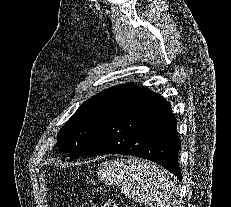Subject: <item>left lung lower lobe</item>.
Here are the masks:
<instances>
[{"mask_svg": "<svg viewBox=\"0 0 231 207\" xmlns=\"http://www.w3.org/2000/svg\"><path fill=\"white\" fill-rule=\"evenodd\" d=\"M176 123L170 103L141 88L109 118L82 156H138L160 164L181 180Z\"/></svg>", "mask_w": 231, "mask_h": 207, "instance_id": "obj_1", "label": "left lung lower lobe"}]
</instances>
